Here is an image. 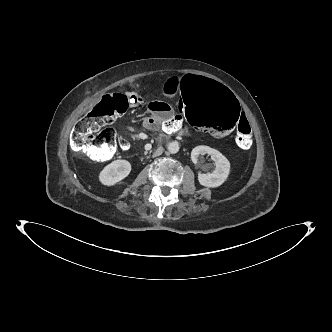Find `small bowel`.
<instances>
[{"label":"small bowel","instance_id":"obj_1","mask_svg":"<svg viewBox=\"0 0 332 332\" xmlns=\"http://www.w3.org/2000/svg\"><path fill=\"white\" fill-rule=\"evenodd\" d=\"M178 82H179V78L177 76H170V77L166 78V80L164 81L163 89L166 91L167 94L175 95V89H176ZM135 97L137 98V102H135V100H133L132 105L140 104L142 102V97L138 94H135ZM181 118H182L181 116H180V118L173 116L172 107L169 102L164 101V100L152 101L148 104V115L144 119L143 126L147 130H156L164 122L171 120V127H180L187 133L188 136H192L193 135L192 130L180 125L179 119H181ZM239 119H240V115H239ZM140 135H142V133L136 134L135 136H136V138H138V137H140ZM228 135H225L222 137H214V138H223Z\"/></svg>","mask_w":332,"mask_h":332}]
</instances>
